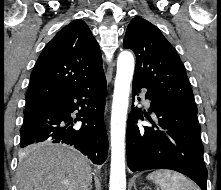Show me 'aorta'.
Returning <instances> with one entry per match:
<instances>
[{
    "instance_id": "obj_1",
    "label": "aorta",
    "mask_w": 221,
    "mask_h": 190,
    "mask_svg": "<svg viewBox=\"0 0 221 190\" xmlns=\"http://www.w3.org/2000/svg\"><path fill=\"white\" fill-rule=\"evenodd\" d=\"M134 57L123 51L117 59V73L111 112V168L109 190H126L125 132Z\"/></svg>"
}]
</instances>
